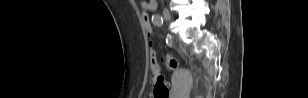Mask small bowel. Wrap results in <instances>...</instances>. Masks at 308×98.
Returning a JSON list of instances; mask_svg holds the SVG:
<instances>
[{"label":"small bowel","mask_w":308,"mask_h":98,"mask_svg":"<svg viewBox=\"0 0 308 98\" xmlns=\"http://www.w3.org/2000/svg\"><path fill=\"white\" fill-rule=\"evenodd\" d=\"M141 7H142V9H146L147 11L155 10L156 7H157V2L155 0L142 1L141 2ZM147 15H148V13H147Z\"/></svg>","instance_id":"c3829d8e"}]
</instances>
